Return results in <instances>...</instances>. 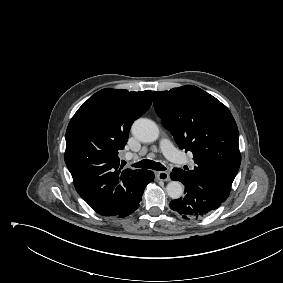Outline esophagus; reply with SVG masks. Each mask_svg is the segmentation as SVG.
Wrapping results in <instances>:
<instances>
[{
	"mask_svg": "<svg viewBox=\"0 0 283 283\" xmlns=\"http://www.w3.org/2000/svg\"><path fill=\"white\" fill-rule=\"evenodd\" d=\"M157 178L161 181H166V182L170 181V176L166 171L157 172Z\"/></svg>",
	"mask_w": 283,
	"mask_h": 283,
	"instance_id": "34e87169",
	"label": "esophagus"
}]
</instances>
